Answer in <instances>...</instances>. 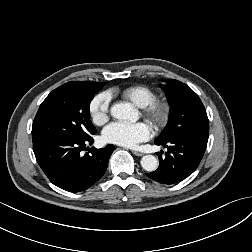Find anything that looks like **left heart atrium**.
Listing matches in <instances>:
<instances>
[{
	"label": "left heart atrium",
	"instance_id": "39dd6f15",
	"mask_svg": "<svg viewBox=\"0 0 252 252\" xmlns=\"http://www.w3.org/2000/svg\"><path fill=\"white\" fill-rule=\"evenodd\" d=\"M151 136V128L147 123H123L114 122L103 131V139L107 143L124 147H134L148 140Z\"/></svg>",
	"mask_w": 252,
	"mask_h": 252
}]
</instances>
